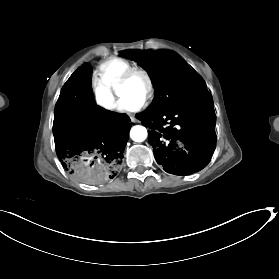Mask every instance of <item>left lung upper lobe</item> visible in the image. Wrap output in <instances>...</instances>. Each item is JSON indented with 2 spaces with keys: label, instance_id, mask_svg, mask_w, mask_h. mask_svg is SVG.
<instances>
[{
  "label": "left lung upper lobe",
  "instance_id": "obj_1",
  "mask_svg": "<svg viewBox=\"0 0 279 279\" xmlns=\"http://www.w3.org/2000/svg\"><path fill=\"white\" fill-rule=\"evenodd\" d=\"M121 55L137 61L149 73L155 98L146 114L169 110L200 91L206 90L203 80L177 54L161 51H123Z\"/></svg>",
  "mask_w": 279,
  "mask_h": 279
}]
</instances>
